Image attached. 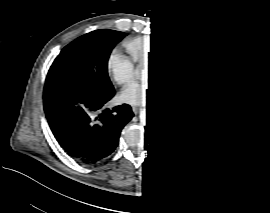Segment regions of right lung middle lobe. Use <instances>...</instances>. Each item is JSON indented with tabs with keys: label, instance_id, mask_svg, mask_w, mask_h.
Here are the masks:
<instances>
[{
	"label": "right lung middle lobe",
	"instance_id": "dd1d6c3e",
	"mask_svg": "<svg viewBox=\"0 0 270 213\" xmlns=\"http://www.w3.org/2000/svg\"><path fill=\"white\" fill-rule=\"evenodd\" d=\"M125 35L102 29L77 38L54 60L45 85H83L102 92L114 90L108 77L107 63L112 49Z\"/></svg>",
	"mask_w": 270,
	"mask_h": 213
}]
</instances>
